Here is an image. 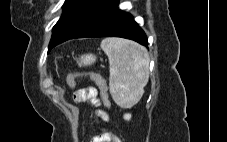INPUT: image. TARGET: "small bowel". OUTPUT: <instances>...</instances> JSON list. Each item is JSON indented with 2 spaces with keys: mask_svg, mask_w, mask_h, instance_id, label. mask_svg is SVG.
Returning a JSON list of instances; mask_svg holds the SVG:
<instances>
[{
  "mask_svg": "<svg viewBox=\"0 0 227 142\" xmlns=\"http://www.w3.org/2000/svg\"><path fill=\"white\" fill-rule=\"evenodd\" d=\"M98 92L97 89L94 87H87L83 89L77 90L73 98L76 102L79 103H85V102H91L96 106L95 116H96V122L99 123L100 120L104 122L109 121V115L106 111L101 109V104L98 100ZM91 142H121V140L117 137V135L105 128H100L99 133L96 134Z\"/></svg>",
  "mask_w": 227,
  "mask_h": 142,
  "instance_id": "obj_1",
  "label": "small bowel"
}]
</instances>
